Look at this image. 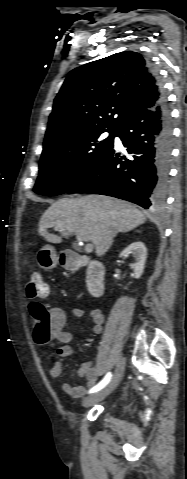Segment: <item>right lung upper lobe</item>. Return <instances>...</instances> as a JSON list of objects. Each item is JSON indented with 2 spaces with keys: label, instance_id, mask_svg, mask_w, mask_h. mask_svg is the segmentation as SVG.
<instances>
[{
  "label": "right lung upper lobe",
  "instance_id": "obj_1",
  "mask_svg": "<svg viewBox=\"0 0 187 479\" xmlns=\"http://www.w3.org/2000/svg\"><path fill=\"white\" fill-rule=\"evenodd\" d=\"M161 93L149 63L126 51L72 70L54 100L44 146L93 129H119Z\"/></svg>",
  "mask_w": 187,
  "mask_h": 479
}]
</instances>
